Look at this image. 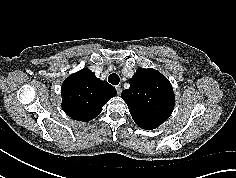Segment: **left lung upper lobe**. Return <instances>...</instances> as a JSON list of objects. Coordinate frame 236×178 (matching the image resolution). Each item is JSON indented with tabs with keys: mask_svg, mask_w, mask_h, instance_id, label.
Instances as JSON below:
<instances>
[{
	"mask_svg": "<svg viewBox=\"0 0 236 178\" xmlns=\"http://www.w3.org/2000/svg\"><path fill=\"white\" fill-rule=\"evenodd\" d=\"M135 123L151 130L164 123L174 109V92L167 78L154 69H137L130 88L121 93Z\"/></svg>",
	"mask_w": 236,
	"mask_h": 178,
	"instance_id": "obj_1",
	"label": "left lung upper lobe"
}]
</instances>
